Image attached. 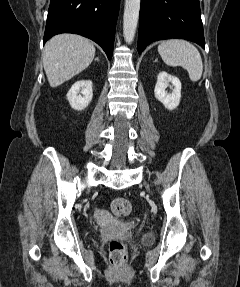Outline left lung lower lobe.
I'll use <instances>...</instances> for the list:
<instances>
[{"label":"left lung lower lobe","instance_id":"0a47b994","mask_svg":"<svg viewBox=\"0 0 240 287\" xmlns=\"http://www.w3.org/2000/svg\"><path fill=\"white\" fill-rule=\"evenodd\" d=\"M181 38L205 48L199 0H141L139 54L153 41Z\"/></svg>","mask_w":240,"mask_h":287}]
</instances>
